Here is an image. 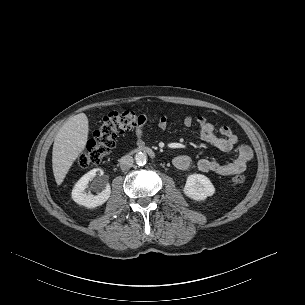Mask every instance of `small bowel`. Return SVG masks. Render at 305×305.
Returning a JSON list of instances; mask_svg holds the SVG:
<instances>
[{"instance_id":"small-bowel-1","label":"small bowel","mask_w":305,"mask_h":305,"mask_svg":"<svg viewBox=\"0 0 305 305\" xmlns=\"http://www.w3.org/2000/svg\"><path fill=\"white\" fill-rule=\"evenodd\" d=\"M185 127L196 125L199 129L200 139L214 146L223 152L234 150L236 158L228 163H221L207 159H200L194 161L189 156L179 155L173 159V165L180 170H187L192 167L197 168L204 173H214L221 176H229L245 171L248 161L252 158L253 152L251 148L244 144L238 143V137L233 131L227 127L222 126L216 129L215 125L205 117L185 116L181 120ZM146 127V118L144 122L135 127L134 133L139 144L144 142ZM157 127L161 131H165L168 127V119L166 116H159L157 119Z\"/></svg>"}]
</instances>
